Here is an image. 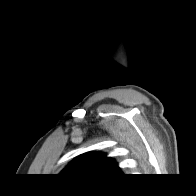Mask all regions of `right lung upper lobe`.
Listing matches in <instances>:
<instances>
[{"label": "right lung upper lobe", "mask_w": 196, "mask_h": 196, "mask_svg": "<svg viewBox=\"0 0 196 196\" xmlns=\"http://www.w3.org/2000/svg\"><path fill=\"white\" fill-rule=\"evenodd\" d=\"M61 174L85 178H106L118 176L121 171L117 164L105 154L93 152L76 158Z\"/></svg>", "instance_id": "1"}]
</instances>
